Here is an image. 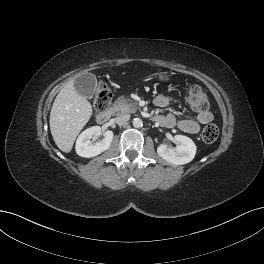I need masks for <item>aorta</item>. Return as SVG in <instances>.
I'll use <instances>...</instances> for the list:
<instances>
[{"label": "aorta", "instance_id": "aorta-1", "mask_svg": "<svg viewBox=\"0 0 264 264\" xmlns=\"http://www.w3.org/2000/svg\"><path fill=\"white\" fill-rule=\"evenodd\" d=\"M133 126L135 128H141L143 126V121L140 118H135L133 120Z\"/></svg>", "mask_w": 264, "mask_h": 264}]
</instances>
